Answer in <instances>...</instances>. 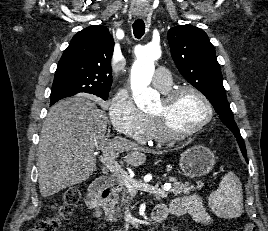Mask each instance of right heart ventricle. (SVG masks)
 Masks as SVG:
<instances>
[{"label": "right heart ventricle", "mask_w": 268, "mask_h": 231, "mask_svg": "<svg viewBox=\"0 0 268 231\" xmlns=\"http://www.w3.org/2000/svg\"><path fill=\"white\" fill-rule=\"evenodd\" d=\"M171 88V85L165 89H161L162 93H166ZM148 124H149V141L155 142H165L166 138L163 136L162 132L160 131L155 119L152 116H147Z\"/></svg>", "instance_id": "1"}]
</instances>
